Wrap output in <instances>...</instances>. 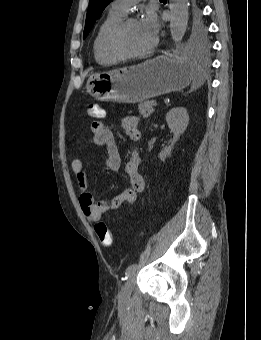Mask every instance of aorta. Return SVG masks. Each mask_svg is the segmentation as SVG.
I'll return each instance as SVG.
<instances>
[{
    "label": "aorta",
    "mask_w": 261,
    "mask_h": 340,
    "mask_svg": "<svg viewBox=\"0 0 261 340\" xmlns=\"http://www.w3.org/2000/svg\"><path fill=\"white\" fill-rule=\"evenodd\" d=\"M170 32L173 41H181L188 24V0H170Z\"/></svg>",
    "instance_id": "1"
}]
</instances>
